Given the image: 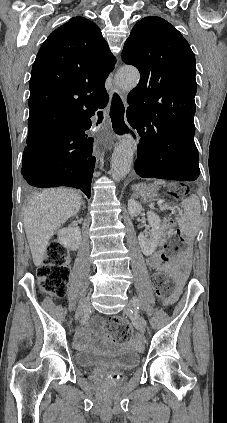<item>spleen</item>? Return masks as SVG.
<instances>
[{
  "instance_id": "3e777b00",
  "label": "spleen",
  "mask_w": 227,
  "mask_h": 423,
  "mask_svg": "<svg viewBox=\"0 0 227 423\" xmlns=\"http://www.w3.org/2000/svg\"><path fill=\"white\" fill-rule=\"evenodd\" d=\"M155 184H165V182L156 180ZM181 208H183V213H179L176 217L178 225L182 233H185L188 237H193L197 233L201 211L198 196L191 194L189 198L181 202Z\"/></svg>"
}]
</instances>
